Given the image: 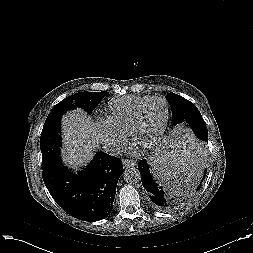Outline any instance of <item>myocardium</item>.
<instances>
[{
    "label": "myocardium",
    "instance_id": "f54148a6",
    "mask_svg": "<svg viewBox=\"0 0 253 253\" xmlns=\"http://www.w3.org/2000/svg\"><path fill=\"white\" fill-rule=\"evenodd\" d=\"M154 100H162L165 105H166V117H165V121L163 123L162 128L160 129L159 133L157 134V136L147 145L143 146L144 149H153L154 147H156L159 142L161 141V139L163 138L166 129L168 127V123H169V119H170V104L168 102V100L165 97L162 96H152L149 97L147 100H145L142 104H140L138 106V108L136 109L131 122L129 124L128 130H127V137L130 141H133V135L134 132L137 128V125L139 123L142 111L144 110V108L152 101Z\"/></svg>",
    "mask_w": 253,
    "mask_h": 253
}]
</instances>
